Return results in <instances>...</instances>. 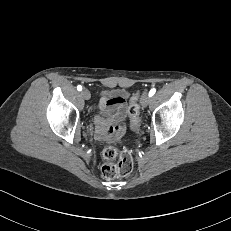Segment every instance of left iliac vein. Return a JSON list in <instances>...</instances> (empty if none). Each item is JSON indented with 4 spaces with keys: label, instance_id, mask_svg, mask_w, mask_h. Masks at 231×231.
<instances>
[{
    "label": "left iliac vein",
    "instance_id": "left-iliac-vein-1",
    "mask_svg": "<svg viewBox=\"0 0 231 231\" xmlns=\"http://www.w3.org/2000/svg\"><path fill=\"white\" fill-rule=\"evenodd\" d=\"M150 102V97L147 93H144L141 97V105L146 107Z\"/></svg>",
    "mask_w": 231,
    "mask_h": 231
}]
</instances>
